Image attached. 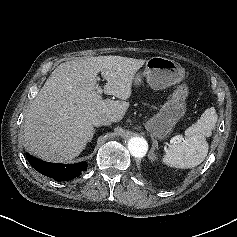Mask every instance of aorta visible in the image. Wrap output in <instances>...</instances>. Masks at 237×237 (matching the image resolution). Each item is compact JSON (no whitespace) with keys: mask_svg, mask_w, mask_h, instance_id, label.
I'll use <instances>...</instances> for the list:
<instances>
[{"mask_svg":"<svg viewBox=\"0 0 237 237\" xmlns=\"http://www.w3.org/2000/svg\"><path fill=\"white\" fill-rule=\"evenodd\" d=\"M130 153L137 158L145 156L148 150L147 141L143 137H132L128 142Z\"/></svg>","mask_w":237,"mask_h":237,"instance_id":"aorta-1","label":"aorta"}]
</instances>
